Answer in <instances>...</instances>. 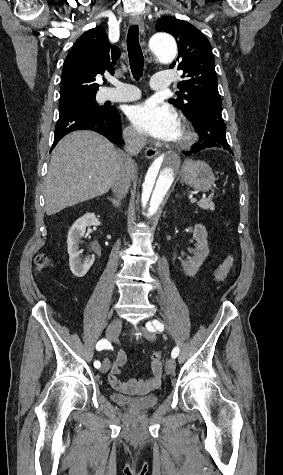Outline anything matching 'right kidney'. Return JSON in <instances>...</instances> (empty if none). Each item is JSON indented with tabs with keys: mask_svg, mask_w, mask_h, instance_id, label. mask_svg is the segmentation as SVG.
I'll use <instances>...</instances> for the list:
<instances>
[{
	"mask_svg": "<svg viewBox=\"0 0 283 475\" xmlns=\"http://www.w3.org/2000/svg\"><path fill=\"white\" fill-rule=\"evenodd\" d=\"M98 218L95 214H85L82 218H78L72 228L68 232L67 249L69 253V265L72 273L77 277H83L94 263L95 257H88V259H81L79 257L78 239L85 234L87 226H100Z\"/></svg>",
	"mask_w": 283,
	"mask_h": 475,
	"instance_id": "1",
	"label": "right kidney"
}]
</instances>
